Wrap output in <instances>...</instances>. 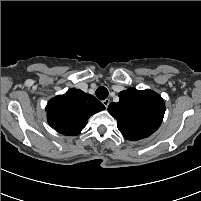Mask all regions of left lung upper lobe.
I'll list each match as a JSON object with an SVG mask.
<instances>
[{
    "instance_id": "obj_1",
    "label": "left lung upper lobe",
    "mask_w": 201,
    "mask_h": 201,
    "mask_svg": "<svg viewBox=\"0 0 201 201\" xmlns=\"http://www.w3.org/2000/svg\"><path fill=\"white\" fill-rule=\"evenodd\" d=\"M119 98V102L110 103L108 111L126 139L140 140L159 128L165 113V103L159 94L129 88L121 91Z\"/></svg>"
}]
</instances>
